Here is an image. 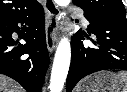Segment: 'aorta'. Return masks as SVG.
<instances>
[{"instance_id": "obj_1", "label": "aorta", "mask_w": 127, "mask_h": 92, "mask_svg": "<svg viewBox=\"0 0 127 92\" xmlns=\"http://www.w3.org/2000/svg\"><path fill=\"white\" fill-rule=\"evenodd\" d=\"M57 5L66 7L70 0H55ZM71 60V47L68 38L61 39L54 57L50 78V92H61L67 78Z\"/></svg>"}]
</instances>
